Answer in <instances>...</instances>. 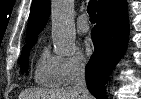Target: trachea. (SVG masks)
I'll return each mask as SVG.
<instances>
[{
	"label": "trachea",
	"instance_id": "3493384b",
	"mask_svg": "<svg viewBox=\"0 0 141 99\" xmlns=\"http://www.w3.org/2000/svg\"><path fill=\"white\" fill-rule=\"evenodd\" d=\"M96 9H97V1L96 0H90L88 7H87V12L89 14L91 21L96 20Z\"/></svg>",
	"mask_w": 141,
	"mask_h": 99
}]
</instances>
